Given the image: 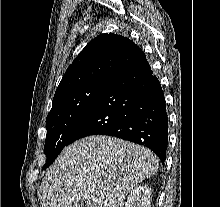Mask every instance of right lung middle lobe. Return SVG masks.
Instances as JSON below:
<instances>
[{
	"label": "right lung middle lobe",
	"instance_id": "dd1d6c3e",
	"mask_svg": "<svg viewBox=\"0 0 220 207\" xmlns=\"http://www.w3.org/2000/svg\"><path fill=\"white\" fill-rule=\"evenodd\" d=\"M107 80H97L54 97L46 118L44 153L47 160L43 169L50 166L69 144L71 135L94 106Z\"/></svg>",
	"mask_w": 220,
	"mask_h": 207
}]
</instances>
